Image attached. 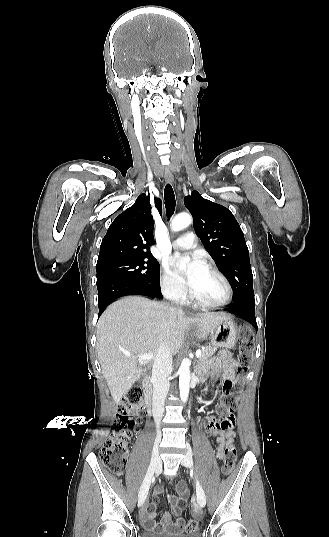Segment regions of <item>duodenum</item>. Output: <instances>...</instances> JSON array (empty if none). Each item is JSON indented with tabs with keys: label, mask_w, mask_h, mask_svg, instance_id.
Here are the masks:
<instances>
[{
	"label": "duodenum",
	"mask_w": 329,
	"mask_h": 537,
	"mask_svg": "<svg viewBox=\"0 0 329 537\" xmlns=\"http://www.w3.org/2000/svg\"><path fill=\"white\" fill-rule=\"evenodd\" d=\"M143 391H144V404L147 415H151L152 410V384L150 377H145L143 379Z\"/></svg>",
	"instance_id": "duodenum-1"
}]
</instances>
